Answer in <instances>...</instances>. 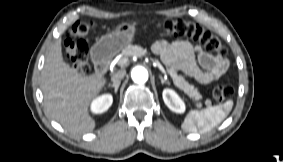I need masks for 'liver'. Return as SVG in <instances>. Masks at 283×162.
Wrapping results in <instances>:
<instances>
[{"label": "liver", "mask_w": 283, "mask_h": 162, "mask_svg": "<svg viewBox=\"0 0 283 162\" xmlns=\"http://www.w3.org/2000/svg\"><path fill=\"white\" fill-rule=\"evenodd\" d=\"M107 80L101 74L86 76L63 59L61 42L56 41L45 58L41 88L47 113L71 133L93 131L96 122L89 105L102 91Z\"/></svg>", "instance_id": "obj_1"}]
</instances>
